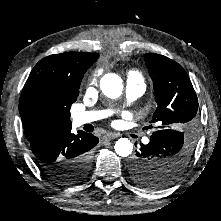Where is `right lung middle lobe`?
<instances>
[{
  "label": "right lung middle lobe",
  "instance_id": "right-lung-middle-lobe-1",
  "mask_svg": "<svg viewBox=\"0 0 221 221\" xmlns=\"http://www.w3.org/2000/svg\"><path fill=\"white\" fill-rule=\"evenodd\" d=\"M77 97H70L61 90H43L37 92L30 104L31 111L34 115L41 118H49L60 114H69L71 105ZM74 167L80 171L84 167L83 160L74 162Z\"/></svg>",
  "mask_w": 221,
  "mask_h": 221
}]
</instances>
